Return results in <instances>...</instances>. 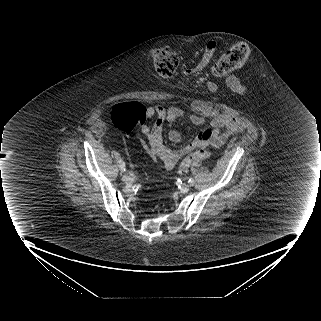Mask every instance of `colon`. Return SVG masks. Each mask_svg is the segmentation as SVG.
Segmentation results:
<instances>
[{"label": "colon", "mask_w": 321, "mask_h": 321, "mask_svg": "<svg viewBox=\"0 0 321 321\" xmlns=\"http://www.w3.org/2000/svg\"><path fill=\"white\" fill-rule=\"evenodd\" d=\"M149 56L159 76L170 78L176 74L180 59L174 50L169 47L156 48L150 52ZM248 56V47L242 43L236 44L214 63L211 73L215 77H224L241 67ZM112 118L117 128L124 132H131L144 124L147 119V109L138 101H125L114 108ZM210 140L211 133L207 130L198 136L197 145L199 149L182 160L178 168L179 174H185L193 162L207 159L210 156L209 152L204 149L205 146L210 144Z\"/></svg>", "instance_id": "obj_1"}]
</instances>
